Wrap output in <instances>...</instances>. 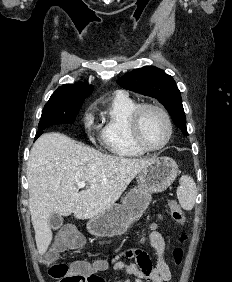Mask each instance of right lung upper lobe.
<instances>
[{"instance_id":"cb5924a9","label":"right lung upper lobe","mask_w":232,"mask_h":282,"mask_svg":"<svg viewBox=\"0 0 232 282\" xmlns=\"http://www.w3.org/2000/svg\"><path fill=\"white\" fill-rule=\"evenodd\" d=\"M93 91V87L84 82L65 84L60 86L49 100H65L73 98H86Z\"/></svg>"}]
</instances>
